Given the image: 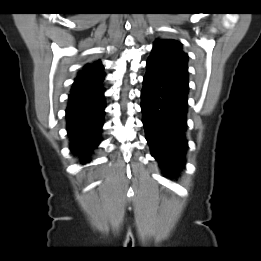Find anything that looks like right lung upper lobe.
Here are the masks:
<instances>
[{"mask_svg":"<svg viewBox=\"0 0 261 261\" xmlns=\"http://www.w3.org/2000/svg\"><path fill=\"white\" fill-rule=\"evenodd\" d=\"M102 68L100 61L85 65L84 70L75 79L71 91L88 90L101 85L105 78Z\"/></svg>","mask_w":261,"mask_h":261,"instance_id":"obj_1","label":"right lung upper lobe"}]
</instances>
